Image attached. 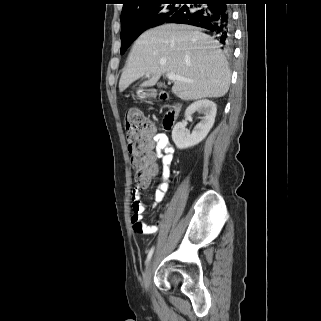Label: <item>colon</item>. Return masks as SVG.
I'll list each match as a JSON object with an SVG mask.
<instances>
[{
    "mask_svg": "<svg viewBox=\"0 0 321 321\" xmlns=\"http://www.w3.org/2000/svg\"><path fill=\"white\" fill-rule=\"evenodd\" d=\"M151 129L150 122L140 110L132 108L127 111L126 139L138 182L150 178L154 172L150 155Z\"/></svg>",
    "mask_w": 321,
    "mask_h": 321,
    "instance_id": "1",
    "label": "colon"
}]
</instances>
